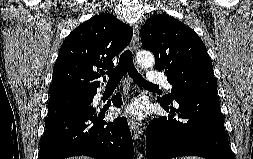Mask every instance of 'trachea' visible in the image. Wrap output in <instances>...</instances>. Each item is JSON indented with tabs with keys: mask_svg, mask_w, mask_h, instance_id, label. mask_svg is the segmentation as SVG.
Masks as SVG:
<instances>
[{
	"mask_svg": "<svg viewBox=\"0 0 253 159\" xmlns=\"http://www.w3.org/2000/svg\"><path fill=\"white\" fill-rule=\"evenodd\" d=\"M127 73L140 86L145 88H158V86L147 82L138 73L134 66L132 52L130 50H125L120 56L118 65L112 70L106 72L109 77V82H120L121 78Z\"/></svg>",
	"mask_w": 253,
	"mask_h": 159,
	"instance_id": "trachea-1",
	"label": "trachea"
}]
</instances>
